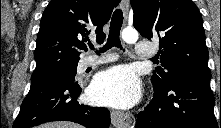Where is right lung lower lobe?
I'll list each match as a JSON object with an SVG mask.
<instances>
[{
	"label": "right lung lower lobe",
	"instance_id": "98d812e1",
	"mask_svg": "<svg viewBox=\"0 0 221 128\" xmlns=\"http://www.w3.org/2000/svg\"><path fill=\"white\" fill-rule=\"evenodd\" d=\"M81 87L75 78L49 76L31 83L13 128H30L50 121H72L86 128H109L110 113L77 99Z\"/></svg>",
	"mask_w": 221,
	"mask_h": 128
}]
</instances>
